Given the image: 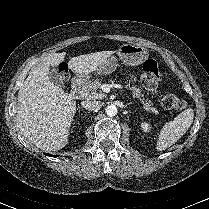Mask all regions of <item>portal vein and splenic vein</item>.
I'll use <instances>...</instances> for the list:
<instances>
[{
    "mask_svg": "<svg viewBox=\"0 0 209 209\" xmlns=\"http://www.w3.org/2000/svg\"><path fill=\"white\" fill-rule=\"evenodd\" d=\"M102 88L106 91H108L110 89V86L108 84H105L102 86Z\"/></svg>",
    "mask_w": 209,
    "mask_h": 209,
    "instance_id": "1",
    "label": "portal vein and splenic vein"
}]
</instances>
